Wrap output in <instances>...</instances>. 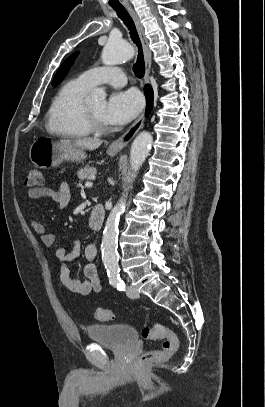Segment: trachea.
I'll use <instances>...</instances> for the list:
<instances>
[{
  "label": "trachea",
  "instance_id": "trachea-1",
  "mask_svg": "<svg viewBox=\"0 0 265 407\" xmlns=\"http://www.w3.org/2000/svg\"><path fill=\"white\" fill-rule=\"evenodd\" d=\"M114 10L117 12L118 17L121 18V20L124 22V24L128 27L131 38L138 47V58H137L136 63L134 64L133 71H134V74L136 77L142 78L145 73V63H144L142 45H141L138 33L135 28V24L124 7H114Z\"/></svg>",
  "mask_w": 265,
  "mask_h": 407
}]
</instances>
